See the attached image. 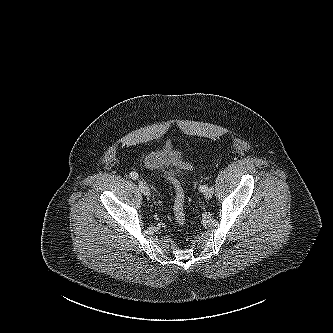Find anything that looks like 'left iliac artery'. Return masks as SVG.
I'll return each instance as SVG.
<instances>
[{
  "label": "left iliac artery",
  "instance_id": "left-iliac-artery-1",
  "mask_svg": "<svg viewBox=\"0 0 333 333\" xmlns=\"http://www.w3.org/2000/svg\"><path fill=\"white\" fill-rule=\"evenodd\" d=\"M210 188H213V187H210ZM207 189H208V187L205 186V185H202V186L199 187V190H200L201 192H205Z\"/></svg>",
  "mask_w": 333,
  "mask_h": 333
}]
</instances>
